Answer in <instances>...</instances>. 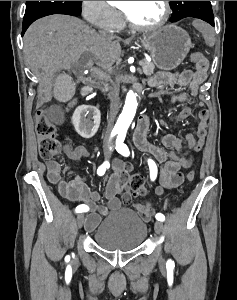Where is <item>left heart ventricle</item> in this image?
Wrapping results in <instances>:
<instances>
[{"instance_id": "b2bd125f", "label": "left heart ventricle", "mask_w": 237, "mask_h": 300, "mask_svg": "<svg viewBox=\"0 0 237 300\" xmlns=\"http://www.w3.org/2000/svg\"><path fill=\"white\" fill-rule=\"evenodd\" d=\"M121 9L140 25L157 23L164 13L163 1H121Z\"/></svg>"}]
</instances>
